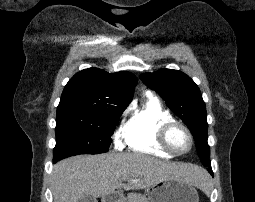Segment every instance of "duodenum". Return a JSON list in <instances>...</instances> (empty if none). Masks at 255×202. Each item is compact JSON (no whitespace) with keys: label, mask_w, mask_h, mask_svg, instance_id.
I'll list each match as a JSON object with an SVG mask.
<instances>
[{"label":"duodenum","mask_w":255,"mask_h":202,"mask_svg":"<svg viewBox=\"0 0 255 202\" xmlns=\"http://www.w3.org/2000/svg\"><path fill=\"white\" fill-rule=\"evenodd\" d=\"M99 202H117V196L113 193H108L103 195Z\"/></svg>","instance_id":"1"}]
</instances>
